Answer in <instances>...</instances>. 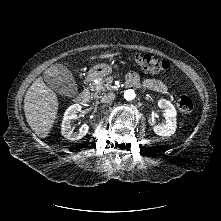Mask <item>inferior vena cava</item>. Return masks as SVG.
<instances>
[{
  "mask_svg": "<svg viewBox=\"0 0 221 221\" xmlns=\"http://www.w3.org/2000/svg\"><path fill=\"white\" fill-rule=\"evenodd\" d=\"M114 98H115V94L114 93H108L107 95H105L102 98V102H110V101L114 100Z\"/></svg>",
  "mask_w": 221,
  "mask_h": 221,
  "instance_id": "1",
  "label": "inferior vena cava"
}]
</instances>
